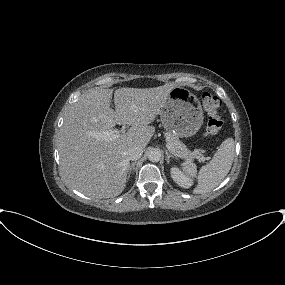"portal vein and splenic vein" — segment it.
I'll return each instance as SVG.
<instances>
[{
  "mask_svg": "<svg viewBox=\"0 0 285 285\" xmlns=\"http://www.w3.org/2000/svg\"><path fill=\"white\" fill-rule=\"evenodd\" d=\"M120 135H121V132L118 130H108V131L96 133L95 137L100 138V139L105 140V141H113V140H116L117 138H119ZM166 147L170 151L173 150V147L171 144H167ZM194 153L196 155H198V157H200L201 161L206 160V158L203 155H201L198 150L194 151Z\"/></svg>",
  "mask_w": 285,
  "mask_h": 285,
  "instance_id": "portal-vein-and-splenic-vein-1",
  "label": "portal vein and splenic vein"
}]
</instances>
